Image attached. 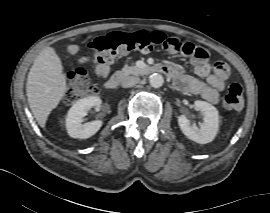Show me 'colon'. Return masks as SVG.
Masks as SVG:
<instances>
[{"label": "colon", "mask_w": 270, "mask_h": 213, "mask_svg": "<svg viewBox=\"0 0 270 213\" xmlns=\"http://www.w3.org/2000/svg\"><path fill=\"white\" fill-rule=\"evenodd\" d=\"M82 41L94 54L92 61L97 64H111L123 52H149L158 46L168 43L172 50H180L185 55L197 59H206L207 51L190 42H180L177 38L168 37L160 31H138L132 34L114 32L96 38L83 37ZM216 73L223 78L228 76V67L221 62L215 64ZM97 91L95 84L88 77L83 67L76 68L68 75L64 100L73 104ZM243 106V89L236 82L231 83L223 96L222 107L225 110L240 109Z\"/></svg>", "instance_id": "5ec220e1"}]
</instances>
